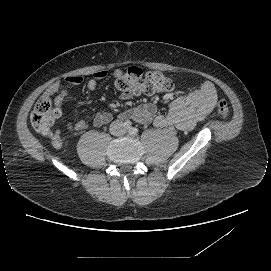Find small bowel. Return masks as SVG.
<instances>
[{
	"label": "small bowel",
	"instance_id": "obj_1",
	"mask_svg": "<svg viewBox=\"0 0 271 271\" xmlns=\"http://www.w3.org/2000/svg\"><path fill=\"white\" fill-rule=\"evenodd\" d=\"M123 75L120 69L114 71V76L119 79ZM94 77L86 82V86L90 91L97 87L99 80L107 76L105 70H100L94 73ZM69 85H79L84 82L83 77L79 75L69 76L65 79ZM50 96L57 94L55 97V105L61 107L64 100L69 95L68 89H62L60 81H56L50 85L46 93ZM132 94L122 92L120 98L122 100L131 99ZM218 95L213 83L207 81L203 83L200 89L195 90L185 96L174 98L169 106L167 113L160 114L157 112L153 104H144L137 108L129 109L120 114V118H132L133 120L147 124L153 123L156 127L165 128L173 127L179 130L192 129L198 122L202 121L216 107ZM112 115L109 112H98L93 118V125L101 127L109 123ZM68 130L81 131L89 126L85 119L77 121L75 124L66 123ZM53 144L56 147L61 145V139L58 134L53 137Z\"/></svg>",
	"mask_w": 271,
	"mask_h": 271
}]
</instances>
